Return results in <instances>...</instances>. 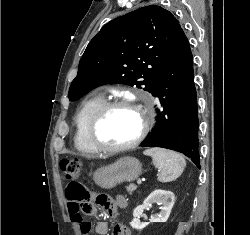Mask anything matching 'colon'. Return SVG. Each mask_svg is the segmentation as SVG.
Listing matches in <instances>:
<instances>
[{
	"mask_svg": "<svg viewBox=\"0 0 250 235\" xmlns=\"http://www.w3.org/2000/svg\"><path fill=\"white\" fill-rule=\"evenodd\" d=\"M60 171L67 182L66 195L78 204V209L88 211L91 208L88 202V193L84 185L79 181L81 176V161L79 159H62ZM99 202V199L97 200Z\"/></svg>",
	"mask_w": 250,
	"mask_h": 235,
	"instance_id": "colon-1",
	"label": "colon"
}]
</instances>
